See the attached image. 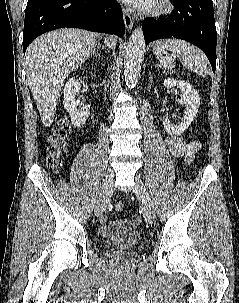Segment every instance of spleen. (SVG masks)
I'll list each match as a JSON object with an SVG mask.
<instances>
[{"mask_svg":"<svg viewBox=\"0 0 239 303\" xmlns=\"http://www.w3.org/2000/svg\"><path fill=\"white\" fill-rule=\"evenodd\" d=\"M172 51L173 55L168 56L163 54L166 51ZM153 53L159 58L160 64L165 69H173L175 67L173 56L180 55L183 65L201 75L207 77L209 73V63L202 50L195 47L189 42L179 39H165L158 41Z\"/></svg>","mask_w":239,"mask_h":303,"instance_id":"3e777b00","label":"spleen"}]
</instances>
